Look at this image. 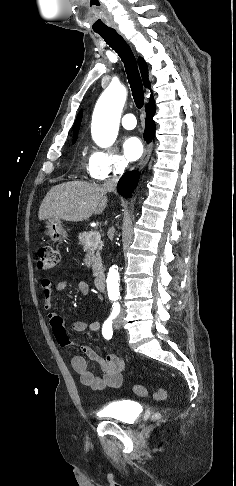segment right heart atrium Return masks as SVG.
<instances>
[{"label":"right heart atrium","mask_w":236,"mask_h":486,"mask_svg":"<svg viewBox=\"0 0 236 486\" xmlns=\"http://www.w3.org/2000/svg\"><path fill=\"white\" fill-rule=\"evenodd\" d=\"M126 167L124 158L115 152L94 150L88 160V173L97 181L120 175Z\"/></svg>","instance_id":"obj_1"}]
</instances>
